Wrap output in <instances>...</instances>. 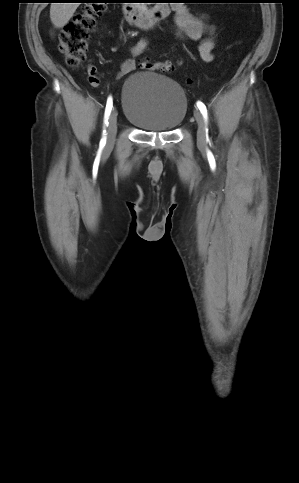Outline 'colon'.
Returning <instances> with one entry per match:
<instances>
[{"instance_id":"1","label":"colon","mask_w":299,"mask_h":483,"mask_svg":"<svg viewBox=\"0 0 299 483\" xmlns=\"http://www.w3.org/2000/svg\"><path fill=\"white\" fill-rule=\"evenodd\" d=\"M105 10L102 0H94L83 11L77 13L72 20L64 26L59 42L60 51L65 55L66 63L70 67L82 65L87 56L91 32L96 26V19ZM140 68L158 73L171 72L174 67L167 62H151L143 60ZM90 83L93 78L88 77Z\"/></svg>"}]
</instances>
